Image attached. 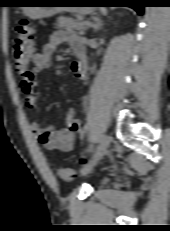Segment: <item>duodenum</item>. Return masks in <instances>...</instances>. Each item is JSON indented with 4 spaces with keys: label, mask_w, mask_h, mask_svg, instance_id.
Segmentation results:
<instances>
[{
    "label": "duodenum",
    "mask_w": 170,
    "mask_h": 231,
    "mask_svg": "<svg viewBox=\"0 0 170 231\" xmlns=\"http://www.w3.org/2000/svg\"><path fill=\"white\" fill-rule=\"evenodd\" d=\"M81 58H83V54H81Z\"/></svg>",
    "instance_id": "obj_1"
}]
</instances>
